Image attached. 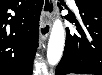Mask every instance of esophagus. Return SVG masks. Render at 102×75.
I'll return each mask as SVG.
<instances>
[{
  "mask_svg": "<svg viewBox=\"0 0 102 75\" xmlns=\"http://www.w3.org/2000/svg\"><path fill=\"white\" fill-rule=\"evenodd\" d=\"M55 11V4L53 0H44L43 8L40 17L39 33L42 40H46L51 31V15Z\"/></svg>",
  "mask_w": 102,
  "mask_h": 75,
  "instance_id": "34e87169",
  "label": "esophagus"
}]
</instances>
